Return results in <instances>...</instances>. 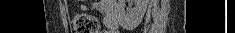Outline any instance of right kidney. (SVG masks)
<instances>
[{"label": "right kidney", "instance_id": "right-kidney-1", "mask_svg": "<svg viewBox=\"0 0 235 33\" xmlns=\"http://www.w3.org/2000/svg\"><path fill=\"white\" fill-rule=\"evenodd\" d=\"M147 4L148 0H135L134 8L120 13V22L123 24L125 21H128L131 18L135 21H141L145 14Z\"/></svg>", "mask_w": 235, "mask_h": 33}]
</instances>
